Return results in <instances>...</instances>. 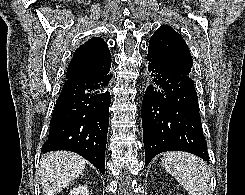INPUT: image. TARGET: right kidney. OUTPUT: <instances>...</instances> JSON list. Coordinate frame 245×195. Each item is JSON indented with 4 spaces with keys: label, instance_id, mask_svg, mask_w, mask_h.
I'll list each match as a JSON object with an SVG mask.
<instances>
[{
    "label": "right kidney",
    "instance_id": "ca27d5eb",
    "mask_svg": "<svg viewBox=\"0 0 245 195\" xmlns=\"http://www.w3.org/2000/svg\"><path fill=\"white\" fill-rule=\"evenodd\" d=\"M69 195H89V191L87 189V186L85 185H79L77 187H74Z\"/></svg>",
    "mask_w": 245,
    "mask_h": 195
}]
</instances>
